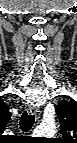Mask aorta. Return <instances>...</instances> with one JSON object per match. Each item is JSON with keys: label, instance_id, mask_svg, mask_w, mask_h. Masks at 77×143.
<instances>
[{"label": "aorta", "instance_id": "aorta-1", "mask_svg": "<svg viewBox=\"0 0 77 143\" xmlns=\"http://www.w3.org/2000/svg\"><path fill=\"white\" fill-rule=\"evenodd\" d=\"M37 135L54 136L56 133V126L54 122L43 123L35 131Z\"/></svg>", "mask_w": 77, "mask_h": 143}]
</instances>
